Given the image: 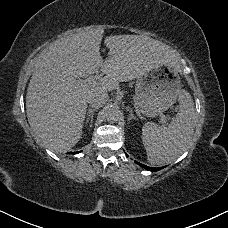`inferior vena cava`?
I'll use <instances>...</instances> for the list:
<instances>
[{
    "label": "inferior vena cava",
    "mask_w": 228,
    "mask_h": 228,
    "mask_svg": "<svg viewBox=\"0 0 228 228\" xmlns=\"http://www.w3.org/2000/svg\"><path fill=\"white\" fill-rule=\"evenodd\" d=\"M108 94L106 92L94 91L90 92L87 97V103L93 108H101L108 101Z\"/></svg>",
    "instance_id": "inferior-vena-cava-1"
}]
</instances>
